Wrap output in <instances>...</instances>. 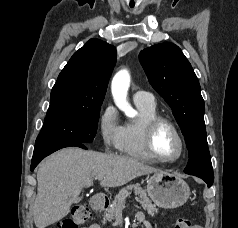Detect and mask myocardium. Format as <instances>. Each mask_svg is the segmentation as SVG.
<instances>
[{
  "label": "myocardium",
  "mask_w": 238,
  "mask_h": 228,
  "mask_svg": "<svg viewBox=\"0 0 238 228\" xmlns=\"http://www.w3.org/2000/svg\"><path fill=\"white\" fill-rule=\"evenodd\" d=\"M163 126H166L169 129H171V131L173 132V134L175 135V137L179 143V153L176 157L171 158V159H167V158H163V157L159 156V154L155 150V145H154L155 137H156L158 131ZM144 142H145L146 150L148 151L150 156L153 159H155L157 162H161V163L176 162L177 160H179L182 157V155L185 151V142H184L181 132L179 131L177 126L171 120H169L168 118L162 117V116H157V117L149 120L145 124Z\"/></svg>",
  "instance_id": "myocardium-1"
}]
</instances>
